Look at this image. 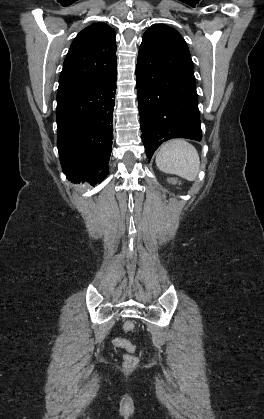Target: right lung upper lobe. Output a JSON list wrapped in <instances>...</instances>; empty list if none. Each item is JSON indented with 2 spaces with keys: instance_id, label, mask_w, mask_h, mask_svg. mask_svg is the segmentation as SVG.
Returning <instances> with one entry per match:
<instances>
[{
  "instance_id": "obj_1",
  "label": "right lung upper lobe",
  "mask_w": 264,
  "mask_h": 419,
  "mask_svg": "<svg viewBox=\"0 0 264 419\" xmlns=\"http://www.w3.org/2000/svg\"><path fill=\"white\" fill-rule=\"evenodd\" d=\"M115 35L105 23H95L82 30L65 58L58 92L98 83L116 73Z\"/></svg>"
}]
</instances>
